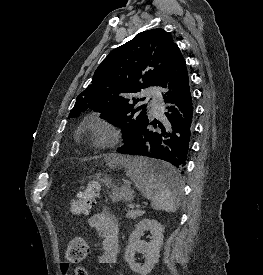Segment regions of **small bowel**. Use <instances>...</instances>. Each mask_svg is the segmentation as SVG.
Instances as JSON below:
<instances>
[{"label": "small bowel", "mask_w": 263, "mask_h": 275, "mask_svg": "<svg viewBox=\"0 0 263 275\" xmlns=\"http://www.w3.org/2000/svg\"><path fill=\"white\" fill-rule=\"evenodd\" d=\"M88 225L98 232L102 240L100 263H115L119 253L118 219L108 209H102L89 217ZM61 269L63 273L68 270L64 265H61Z\"/></svg>", "instance_id": "small-bowel-1"}]
</instances>
